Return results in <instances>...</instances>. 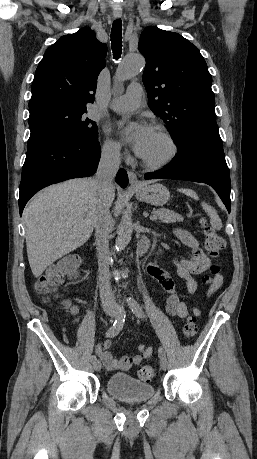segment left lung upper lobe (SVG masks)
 Instances as JSON below:
<instances>
[{"instance_id": "left-lung-upper-lobe-1", "label": "left lung upper lobe", "mask_w": 257, "mask_h": 459, "mask_svg": "<svg viewBox=\"0 0 257 459\" xmlns=\"http://www.w3.org/2000/svg\"><path fill=\"white\" fill-rule=\"evenodd\" d=\"M138 49L146 58L142 79L148 105L177 145L193 125L216 121L212 77L196 46L177 33L150 26L142 32Z\"/></svg>"}]
</instances>
